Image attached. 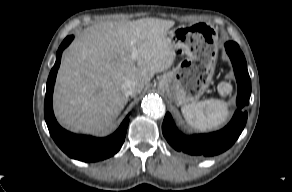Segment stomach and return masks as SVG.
Segmentation results:
<instances>
[{"mask_svg": "<svg viewBox=\"0 0 292 192\" xmlns=\"http://www.w3.org/2000/svg\"><path fill=\"white\" fill-rule=\"evenodd\" d=\"M168 37L183 58L160 78L158 88L171 101L185 105L197 101L212 83L218 53V35L214 26H180Z\"/></svg>", "mask_w": 292, "mask_h": 192, "instance_id": "1", "label": "stomach"}]
</instances>
